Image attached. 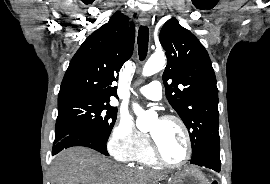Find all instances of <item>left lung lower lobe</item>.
Returning a JSON list of instances; mask_svg holds the SVG:
<instances>
[{
    "instance_id": "1",
    "label": "left lung lower lobe",
    "mask_w": 270,
    "mask_h": 184,
    "mask_svg": "<svg viewBox=\"0 0 270 184\" xmlns=\"http://www.w3.org/2000/svg\"><path fill=\"white\" fill-rule=\"evenodd\" d=\"M190 162L220 172L221 161L219 149L206 148L200 152L198 157L192 159Z\"/></svg>"
}]
</instances>
